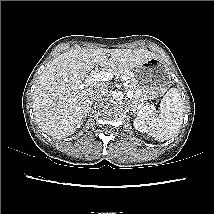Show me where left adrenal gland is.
Here are the masks:
<instances>
[{"label":"left adrenal gland","instance_id":"a2214340","mask_svg":"<svg viewBox=\"0 0 214 214\" xmlns=\"http://www.w3.org/2000/svg\"><path fill=\"white\" fill-rule=\"evenodd\" d=\"M128 105L131 106V105H130V100H128Z\"/></svg>","mask_w":214,"mask_h":214}]
</instances>
